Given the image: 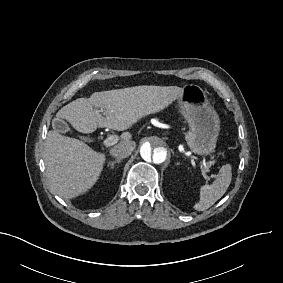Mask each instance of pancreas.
<instances>
[{
    "mask_svg": "<svg viewBox=\"0 0 283 283\" xmlns=\"http://www.w3.org/2000/svg\"><path fill=\"white\" fill-rule=\"evenodd\" d=\"M214 164V161H211V163L209 164L210 166Z\"/></svg>",
    "mask_w": 283,
    "mask_h": 283,
    "instance_id": "pancreas-1",
    "label": "pancreas"
}]
</instances>
